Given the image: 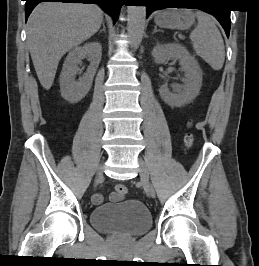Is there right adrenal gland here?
I'll list each match as a JSON object with an SVG mask.
<instances>
[{"label": "right adrenal gland", "instance_id": "obj_1", "mask_svg": "<svg viewBox=\"0 0 259 266\" xmlns=\"http://www.w3.org/2000/svg\"><path fill=\"white\" fill-rule=\"evenodd\" d=\"M103 28L100 30V32L99 33H101L102 31H104V32H106V27H105V23L103 22Z\"/></svg>", "mask_w": 259, "mask_h": 266}]
</instances>
